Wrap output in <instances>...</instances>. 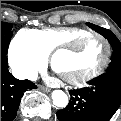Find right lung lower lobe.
I'll use <instances>...</instances> for the list:
<instances>
[{
	"label": "right lung lower lobe",
	"mask_w": 121,
	"mask_h": 121,
	"mask_svg": "<svg viewBox=\"0 0 121 121\" xmlns=\"http://www.w3.org/2000/svg\"><path fill=\"white\" fill-rule=\"evenodd\" d=\"M35 88L34 83L18 80L8 71L6 54L1 53V121H12L24 92Z\"/></svg>",
	"instance_id": "98d812e1"
}]
</instances>
